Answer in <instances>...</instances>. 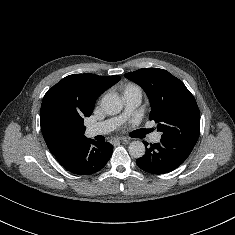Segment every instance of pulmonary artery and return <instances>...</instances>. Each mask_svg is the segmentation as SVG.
Returning <instances> with one entry per match:
<instances>
[{
	"label": "pulmonary artery",
	"mask_w": 235,
	"mask_h": 235,
	"mask_svg": "<svg viewBox=\"0 0 235 235\" xmlns=\"http://www.w3.org/2000/svg\"><path fill=\"white\" fill-rule=\"evenodd\" d=\"M143 93L138 86H128L123 92L124 111L121 115L107 119L102 122L91 124L87 127L86 133L89 137L107 134L121 126L141 104ZM161 133L155 132L151 136V141L158 143Z\"/></svg>",
	"instance_id": "1"
}]
</instances>
